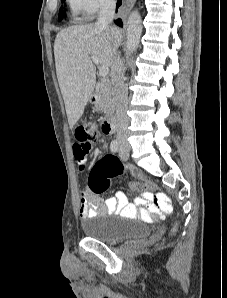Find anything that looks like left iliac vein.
<instances>
[{
	"label": "left iliac vein",
	"instance_id": "1",
	"mask_svg": "<svg viewBox=\"0 0 227 298\" xmlns=\"http://www.w3.org/2000/svg\"><path fill=\"white\" fill-rule=\"evenodd\" d=\"M130 148L127 145H121L119 149V156L122 160L126 161L129 158Z\"/></svg>",
	"mask_w": 227,
	"mask_h": 298
}]
</instances>
